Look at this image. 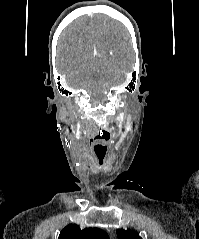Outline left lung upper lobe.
I'll return each instance as SVG.
<instances>
[{"mask_svg":"<svg viewBox=\"0 0 199 239\" xmlns=\"http://www.w3.org/2000/svg\"><path fill=\"white\" fill-rule=\"evenodd\" d=\"M117 236L118 239H142L137 233L131 230L125 231L123 229L117 230Z\"/></svg>","mask_w":199,"mask_h":239,"instance_id":"5c2ea615","label":"left lung upper lobe"}]
</instances>
